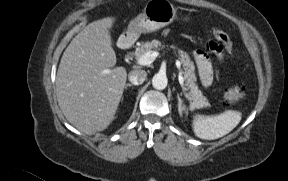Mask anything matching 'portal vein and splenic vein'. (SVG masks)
<instances>
[{"label":"portal vein and splenic vein","mask_w":288,"mask_h":181,"mask_svg":"<svg viewBox=\"0 0 288 181\" xmlns=\"http://www.w3.org/2000/svg\"><path fill=\"white\" fill-rule=\"evenodd\" d=\"M159 56V53L157 51H149L145 54H143L142 56H140L138 59H137V64L138 65H142V66H146V65H149L151 64L157 57ZM178 70H179V74H178V80H179V83L182 87V90L184 92V94L186 95V88L184 87V78L182 76V71H181V63L179 60H176L175 62Z\"/></svg>","instance_id":"1"}]
</instances>
